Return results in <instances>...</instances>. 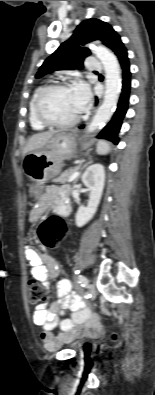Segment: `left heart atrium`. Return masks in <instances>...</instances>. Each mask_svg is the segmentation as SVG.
I'll list each match as a JSON object with an SVG mask.
<instances>
[{
  "label": "left heart atrium",
  "instance_id": "obj_1",
  "mask_svg": "<svg viewBox=\"0 0 155 395\" xmlns=\"http://www.w3.org/2000/svg\"><path fill=\"white\" fill-rule=\"evenodd\" d=\"M72 93L78 113L85 111L91 98L87 84L82 81L77 82L72 87Z\"/></svg>",
  "mask_w": 155,
  "mask_h": 395
}]
</instances>
